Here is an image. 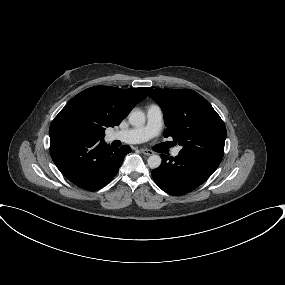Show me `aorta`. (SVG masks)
Here are the masks:
<instances>
[{"label": "aorta", "mask_w": 285, "mask_h": 285, "mask_svg": "<svg viewBox=\"0 0 285 285\" xmlns=\"http://www.w3.org/2000/svg\"><path fill=\"white\" fill-rule=\"evenodd\" d=\"M146 117L143 111L134 109L129 114V122L133 126H142L145 124ZM148 166L151 169H156L161 165L162 159L159 155H151L148 160Z\"/></svg>", "instance_id": "1"}]
</instances>
